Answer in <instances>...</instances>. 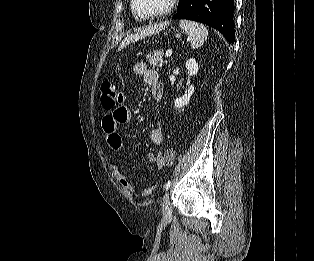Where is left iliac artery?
<instances>
[{
	"label": "left iliac artery",
	"mask_w": 314,
	"mask_h": 261,
	"mask_svg": "<svg viewBox=\"0 0 314 261\" xmlns=\"http://www.w3.org/2000/svg\"><path fill=\"white\" fill-rule=\"evenodd\" d=\"M170 185H171V181H168V182L165 184L164 188H165L166 191L169 189Z\"/></svg>",
	"instance_id": "1"
}]
</instances>
